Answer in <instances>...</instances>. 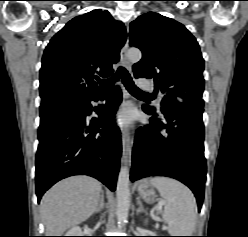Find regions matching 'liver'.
I'll use <instances>...</instances> for the list:
<instances>
[{
    "label": "liver",
    "instance_id": "6515ba94",
    "mask_svg": "<svg viewBox=\"0 0 248 237\" xmlns=\"http://www.w3.org/2000/svg\"><path fill=\"white\" fill-rule=\"evenodd\" d=\"M100 194L101 183L88 176H73L55 184L40 203L46 236H61L87 220L95 212Z\"/></svg>",
    "mask_w": 248,
    "mask_h": 237
}]
</instances>
